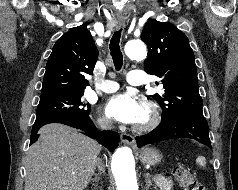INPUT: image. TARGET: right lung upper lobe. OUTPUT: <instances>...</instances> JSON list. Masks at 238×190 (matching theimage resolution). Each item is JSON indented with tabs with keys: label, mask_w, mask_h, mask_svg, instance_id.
I'll return each mask as SVG.
<instances>
[{
	"label": "right lung upper lobe",
	"mask_w": 238,
	"mask_h": 190,
	"mask_svg": "<svg viewBox=\"0 0 238 190\" xmlns=\"http://www.w3.org/2000/svg\"><path fill=\"white\" fill-rule=\"evenodd\" d=\"M98 50L87 29V23L69 29L55 43L46 65L41 98L59 94L84 92L89 85Z\"/></svg>",
	"instance_id": "right-lung-upper-lobe-1"
}]
</instances>
